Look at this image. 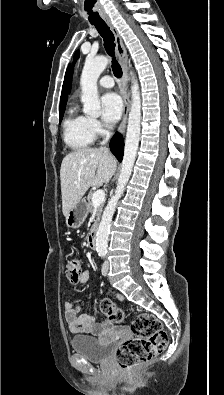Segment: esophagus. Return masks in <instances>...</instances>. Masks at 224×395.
Returning a JSON list of instances; mask_svg holds the SVG:
<instances>
[{
	"instance_id": "34e87169",
	"label": "esophagus",
	"mask_w": 224,
	"mask_h": 395,
	"mask_svg": "<svg viewBox=\"0 0 224 395\" xmlns=\"http://www.w3.org/2000/svg\"><path fill=\"white\" fill-rule=\"evenodd\" d=\"M106 23L111 29L112 33L114 34L115 37V50L116 53L119 57V62L122 68V80H121V94L123 97V116L122 120L119 126V131L121 134L124 133L126 124H127V119H128V113H129V107H130V99L129 95L127 93V81H128V71H127V51L126 48L123 44L122 38L120 37L118 31L116 28L113 26L111 23L110 19H106Z\"/></svg>"
}]
</instances>
